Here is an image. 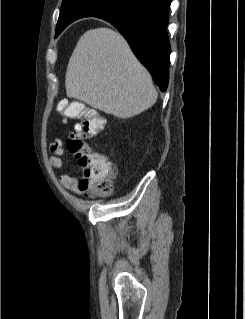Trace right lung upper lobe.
I'll return each mask as SVG.
<instances>
[{"label":"right lung upper lobe","mask_w":245,"mask_h":319,"mask_svg":"<svg viewBox=\"0 0 245 319\" xmlns=\"http://www.w3.org/2000/svg\"><path fill=\"white\" fill-rule=\"evenodd\" d=\"M80 1L84 0H63V10L60 11L56 29H64L71 22L91 15V13L79 5Z\"/></svg>","instance_id":"right-lung-upper-lobe-1"}]
</instances>
